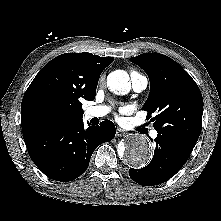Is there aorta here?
<instances>
[{
	"label": "aorta",
	"mask_w": 221,
	"mask_h": 221,
	"mask_svg": "<svg viewBox=\"0 0 221 221\" xmlns=\"http://www.w3.org/2000/svg\"><path fill=\"white\" fill-rule=\"evenodd\" d=\"M107 86L114 94H127L131 89L128 73L124 70L111 72L107 77ZM118 154L129 165L141 167L151 160L152 148L144 135L132 134L118 145Z\"/></svg>",
	"instance_id": "aorta-1"
}]
</instances>
